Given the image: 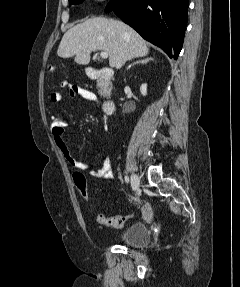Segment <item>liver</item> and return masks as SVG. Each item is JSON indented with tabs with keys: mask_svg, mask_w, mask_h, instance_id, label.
Returning <instances> with one entry per match:
<instances>
[{
	"mask_svg": "<svg viewBox=\"0 0 240 287\" xmlns=\"http://www.w3.org/2000/svg\"><path fill=\"white\" fill-rule=\"evenodd\" d=\"M102 50L109 55V65L120 69L128 60L149 53L146 41L121 21L94 17L70 28L62 37L57 54L74 57L80 65L90 62L92 52Z\"/></svg>",
	"mask_w": 240,
	"mask_h": 287,
	"instance_id": "liver-1",
	"label": "liver"
}]
</instances>
